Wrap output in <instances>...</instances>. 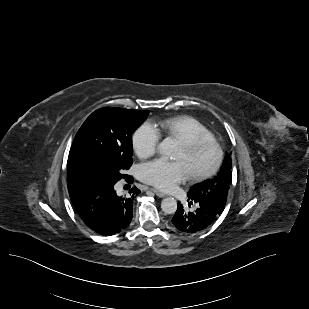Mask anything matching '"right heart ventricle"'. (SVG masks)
Wrapping results in <instances>:
<instances>
[{"instance_id":"1","label":"right heart ventricle","mask_w":309,"mask_h":309,"mask_svg":"<svg viewBox=\"0 0 309 309\" xmlns=\"http://www.w3.org/2000/svg\"><path fill=\"white\" fill-rule=\"evenodd\" d=\"M160 129L182 142L213 139L212 132L199 120L190 116H175L159 122Z\"/></svg>"}]
</instances>
